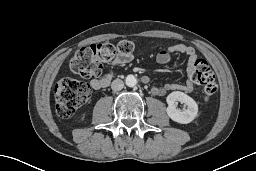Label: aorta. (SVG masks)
<instances>
[{
  "label": "aorta",
  "mask_w": 256,
  "mask_h": 171,
  "mask_svg": "<svg viewBox=\"0 0 256 171\" xmlns=\"http://www.w3.org/2000/svg\"><path fill=\"white\" fill-rule=\"evenodd\" d=\"M125 83L128 87H134L137 84V79L134 75H128L125 79Z\"/></svg>",
  "instance_id": "762f6f07"
}]
</instances>
